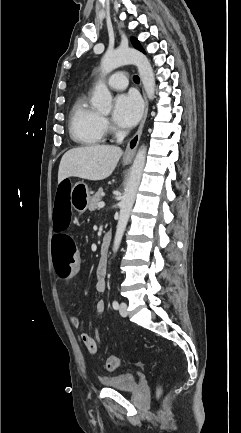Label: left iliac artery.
I'll return each mask as SVG.
<instances>
[{
    "label": "left iliac artery",
    "instance_id": "left-iliac-artery-1",
    "mask_svg": "<svg viewBox=\"0 0 241 433\" xmlns=\"http://www.w3.org/2000/svg\"><path fill=\"white\" fill-rule=\"evenodd\" d=\"M112 306H113V308H114L115 310H117V309L119 308V304H118V302H117L116 300H114V301L112 302Z\"/></svg>",
    "mask_w": 241,
    "mask_h": 433
}]
</instances>
